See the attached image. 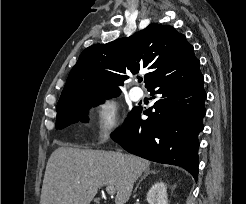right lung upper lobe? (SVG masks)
Listing matches in <instances>:
<instances>
[{
	"instance_id": "1",
	"label": "right lung upper lobe",
	"mask_w": 246,
	"mask_h": 204,
	"mask_svg": "<svg viewBox=\"0 0 246 204\" xmlns=\"http://www.w3.org/2000/svg\"><path fill=\"white\" fill-rule=\"evenodd\" d=\"M197 58L186 37L174 27L152 23L128 38L86 48L67 78L59 99L88 94H117L126 72L145 75L149 87L161 77L184 68Z\"/></svg>"
}]
</instances>
